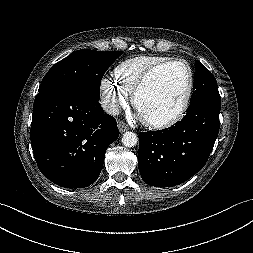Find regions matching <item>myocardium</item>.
Returning a JSON list of instances; mask_svg holds the SVG:
<instances>
[{
    "mask_svg": "<svg viewBox=\"0 0 253 253\" xmlns=\"http://www.w3.org/2000/svg\"><path fill=\"white\" fill-rule=\"evenodd\" d=\"M172 65H181L186 69L187 74H188L187 89L185 92V96H184L182 105L176 114H174L170 118H167L164 120H159V121L144 120V123L147 126L155 128V129H165V128L172 127V126L176 125L177 123H179L185 117V115L189 109V106H190V102H191V98H192V94H193V90H194V83H195L194 71H193L191 65L186 60L180 59V58L170 59V60L161 62L159 64H156V65L152 66L151 68H149L143 74V76L141 77V79L139 80V82L137 83V85L135 86V88L132 92V104L134 107H136L137 99H138L140 93L146 87V85L150 82V80L153 78V76L158 71H160L166 67L172 66Z\"/></svg>",
    "mask_w": 253,
    "mask_h": 253,
    "instance_id": "myocardium-1",
    "label": "myocardium"
}]
</instances>
